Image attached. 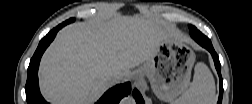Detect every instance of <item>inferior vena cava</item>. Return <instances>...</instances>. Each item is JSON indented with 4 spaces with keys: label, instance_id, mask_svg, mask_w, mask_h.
<instances>
[{
    "label": "inferior vena cava",
    "instance_id": "inferior-vena-cava-1",
    "mask_svg": "<svg viewBox=\"0 0 252 104\" xmlns=\"http://www.w3.org/2000/svg\"><path fill=\"white\" fill-rule=\"evenodd\" d=\"M108 78L114 84L122 79V75L119 73H111L108 75Z\"/></svg>",
    "mask_w": 252,
    "mask_h": 104
}]
</instances>
